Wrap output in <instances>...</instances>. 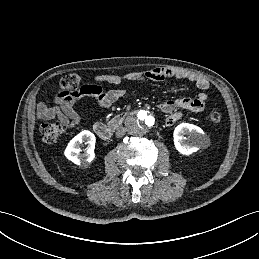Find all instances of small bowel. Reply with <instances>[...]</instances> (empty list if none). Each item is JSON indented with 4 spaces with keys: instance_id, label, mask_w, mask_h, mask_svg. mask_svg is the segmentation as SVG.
Masks as SVG:
<instances>
[{
    "instance_id": "small-bowel-1",
    "label": "small bowel",
    "mask_w": 259,
    "mask_h": 259,
    "mask_svg": "<svg viewBox=\"0 0 259 259\" xmlns=\"http://www.w3.org/2000/svg\"><path fill=\"white\" fill-rule=\"evenodd\" d=\"M168 78L184 79L193 82L200 90V93L195 97H184L161 102L159 109L167 114L165 120L167 126H172L178 121L183 111L199 113L204 110L208 99L206 90L210 87V82L205 76L182 68H154L145 72H129L124 76L115 74L96 75L94 77L96 84L83 85L68 96L58 94L52 106L40 103L37 107V115L39 119L51 120L57 118L65 125L74 126L80 120L76 107L81 102L93 100L99 106L109 108L125 95V90L122 88L104 91L98 83L120 85L124 81L142 82L152 80L161 82Z\"/></svg>"
}]
</instances>
